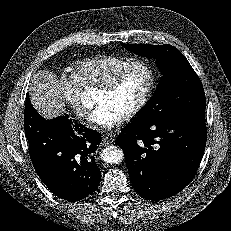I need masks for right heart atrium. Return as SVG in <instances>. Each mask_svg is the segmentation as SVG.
<instances>
[{
    "instance_id": "right-heart-atrium-1",
    "label": "right heart atrium",
    "mask_w": 231,
    "mask_h": 231,
    "mask_svg": "<svg viewBox=\"0 0 231 231\" xmlns=\"http://www.w3.org/2000/svg\"><path fill=\"white\" fill-rule=\"evenodd\" d=\"M57 96L74 111L80 119H86L89 109L83 101L82 88L77 78L70 74H61L56 84Z\"/></svg>"
}]
</instances>
